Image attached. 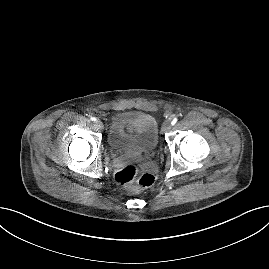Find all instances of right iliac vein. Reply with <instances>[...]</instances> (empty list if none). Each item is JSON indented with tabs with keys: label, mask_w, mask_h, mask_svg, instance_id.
Masks as SVG:
<instances>
[{
	"label": "right iliac vein",
	"mask_w": 269,
	"mask_h": 269,
	"mask_svg": "<svg viewBox=\"0 0 269 269\" xmlns=\"http://www.w3.org/2000/svg\"><path fill=\"white\" fill-rule=\"evenodd\" d=\"M95 125H96V127H97L98 129H103V123H102L100 120H97V121L95 122Z\"/></svg>",
	"instance_id": "obj_1"
}]
</instances>
